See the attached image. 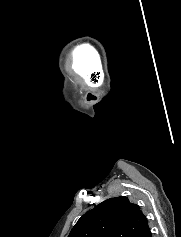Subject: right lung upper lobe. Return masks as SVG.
<instances>
[{
	"instance_id": "right-lung-upper-lobe-1",
	"label": "right lung upper lobe",
	"mask_w": 181,
	"mask_h": 237,
	"mask_svg": "<svg viewBox=\"0 0 181 237\" xmlns=\"http://www.w3.org/2000/svg\"><path fill=\"white\" fill-rule=\"evenodd\" d=\"M68 237H152V234L140 207L119 196L86 212Z\"/></svg>"
}]
</instances>
